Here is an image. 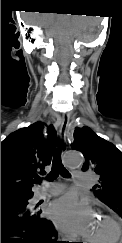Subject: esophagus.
Returning a JSON list of instances; mask_svg holds the SVG:
<instances>
[{
	"label": "esophagus",
	"instance_id": "obj_1",
	"mask_svg": "<svg viewBox=\"0 0 122 243\" xmlns=\"http://www.w3.org/2000/svg\"><path fill=\"white\" fill-rule=\"evenodd\" d=\"M69 125V115L64 114L62 119H61V125H60V136L62 139V145H61V152L64 153L67 149V142H66V134H67V129Z\"/></svg>",
	"mask_w": 122,
	"mask_h": 243
}]
</instances>
